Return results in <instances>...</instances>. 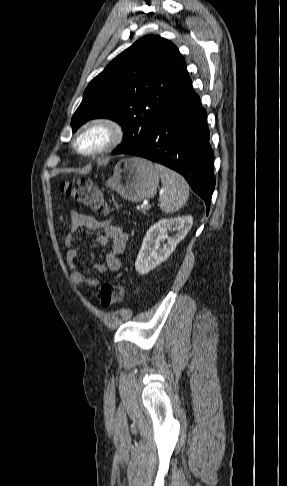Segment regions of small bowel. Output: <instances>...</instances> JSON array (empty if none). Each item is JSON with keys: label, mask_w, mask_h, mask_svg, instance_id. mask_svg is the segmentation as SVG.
Instances as JSON below:
<instances>
[{"label": "small bowel", "mask_w": 287, "mask_h": 486, "mask_svg": "<svg viewBox=\"0 0 287 486\" xmlns=\"http://www.w3.org/2000/svg\"><path fill=\"white\" fill-rule=\"evenodd\" d=\"M79 229L90 231H102L98 237L101 245H109L110 251L105 256L103 263L94 265V269L101 275L120 269L121 261L119 256L124 252L127 243V234L124 230L109 221L97 220L93 216L72 211L70 213V232L66 235L64 244L66 247V260L70 269V280L78 288H93L100 283L97 278H87L77 266L79 251L75 245L76 232Z\"/></svg>", "instance_id": "c3829d8e"}]
</instances>
